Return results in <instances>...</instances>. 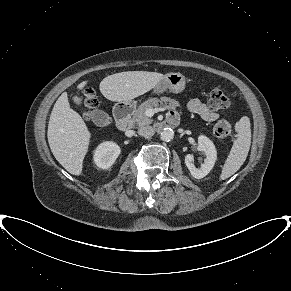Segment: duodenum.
Wrapping results in <instances>:
<instances>
[{"mask_svg": "<svg viewBox=\"0 0 291 291\" xmlns=\"http://www.w3.org/2000/svg\"><path fill=\"white\" fill-rule=\"evenodd\" d=\"M133 107L130 104H120L116 107L114 116L116 126L122 130L126 131L131 127V113ZM177 124V118L169 117L164 122L160 124V127L175 126Z\"/></svg>", "mask_w": 291, "mask_h": 291, "instance_id": "1", "label": "duodenum"}]
</instances>
